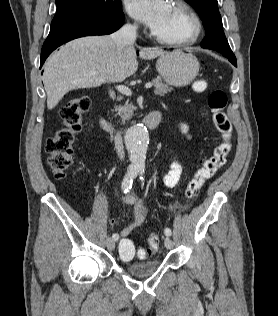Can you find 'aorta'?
<instances>
[{"instance_id":"obj_1","label":"aorta","mask_w":278,"mask_h":316,"mask_svg":"<svg viewBox=\"0 0 278 316\" xmlns=\"http://www.w3.org/2000/svg\"><path fill=\"white\" fill-rule=\"evenodd\" d=\"M125 144L132 167L139 171L144 170L149 144V134L146 127L140 123L131 126L126 131Z\"/></svg>"}]
</instances>
